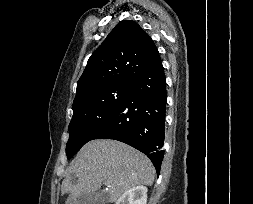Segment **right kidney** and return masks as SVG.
I'll return each mask as SVG.
<instances>
[{"mask_svg": "<svg viewBox=\"0 0 253 204\" xmlns=\"http://www.w3.org/2000/svg\"><path fill=\"white\" fill-rule=\"evenodd\" d=\"M147 187L138 185L123 193L115 204H146Z\"/></svg>", "mask_w": 253, "mask_h": 204, "instance_id": "1", "label": "right kidney"}]
</instances>
